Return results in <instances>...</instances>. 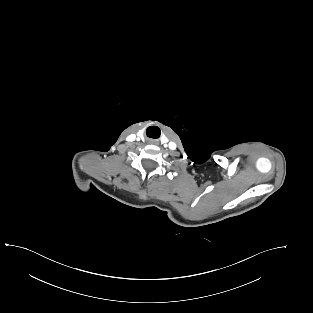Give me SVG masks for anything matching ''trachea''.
<instances>
[{"mask_svg":"<svg viewBox=\"0 0 313 313\" xmlns=\"http://www.w3.org/2000/svg\"><path fill=\"white\" fill-rule=\"evenodd\" d=\"M147 131H153V132H157L160 135V129L156 126H151L147 129Z\"/></svg>","mask_w":313,"mask_h":313,"instance_id":"obj_1","label":"trachea"}]
</instances>
